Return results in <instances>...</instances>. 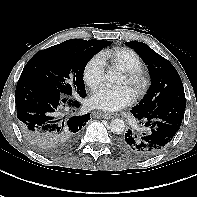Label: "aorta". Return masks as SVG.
Here are the masks:
<instances>
[{
	"label": "aorta",
	"instance_id": "obj_1",
	"mask_svg": "<svg viewBox=\"0 0 197 197\" xmlns=\"http://www.w3.org/2000/svg\"><path fill=\"white\" fill-rule=\"evenodd\" d=\"M105 78L110 83L118 84L122 81L121 74L115 70L108 71ZM110 130L115 134H122L125 130L124 121L122 119H113L110 123Z\"/></svg>",
	"mask_w": 197,
	"mask_h": 197
}]
</instances>
